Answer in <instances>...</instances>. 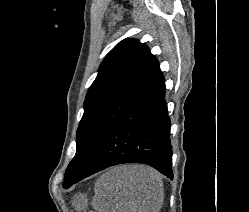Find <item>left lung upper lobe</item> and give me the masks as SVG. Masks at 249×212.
Here are the masks:
<instances>
[{"label":"left lung upper lobe","instance_id":"5c2ea615","mask_svg":"<svg viewBox=\"0 0 249 212\" xmlns=\"http://www.w3.org/2000/svg\"><path fill=\"white\" fill-rule=\"evenodd\" d=\"M159 70L157 59L137 39L126 38L107 54L86 94L76 154L66 169L63 187L83 174L111 128Z\"/></svg>","mask_w":249,"mask_h":212}]
</instances>
